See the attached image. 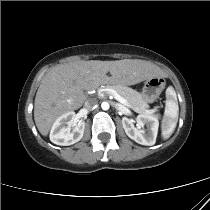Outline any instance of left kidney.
Here are the masks:
<instances>
[{"label": "left kidney", "mask_w": 210, "mask_h": 210, "mask_svg": "<svg viewBox=\"0 0 210 210\" xmlns=\"http://www.w3.org/2000/svg\"><path fill=\"white\" fill-rule=\"evenodd\" d=\"M137 128L133 124V120L127 117L122 118V125L127 136L141 145L152 146L156 142L159 121L155 116L141 114L136 118ZM147 126V131L141 129Z\"/></svg>", "instance_id": "1"}]
</instances>
